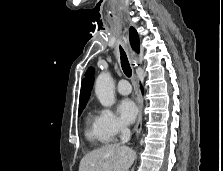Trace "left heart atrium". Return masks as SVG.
Here are the masks:
<instances>
[{
  "instance_id": "39dd6f15",
  "label": "left heart atrium",
  "mask_w": 223,
  "mask_h": 171,
  "mask_svg": "<svg viewBox=\"0 0 223 171\" xmlns=\"http://www.w3.org/2000/svg\"><path fill=\"white\" fill-rule=\"evenodd\" d=\"M118 111L122 120L126 124H131L138 114V107L132 100L124 99L120 102Z\"/></svg>"
}]
</instances>
